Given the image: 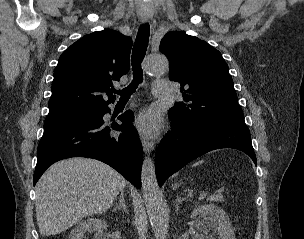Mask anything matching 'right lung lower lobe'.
Listing matches in <instances>:
<instances>
[{
	"mask_svg": "<svg viewBox=\"0 0 304 239\" xmlns=\"http://www.w3.org/2000/svg\"><path fill=\"white\" fill-rule=\"evenodd\" d=\"M106 113H110L108 106L89 119L44 124V133L37 149L33 184L50 165L59 160L88 157L110 165L140 188L143 149L132 125L133 113L128 110L121 115V125L104 122ZM112 130L122 133L113 135Z\"/></svg>",
	"mask_w": 304,
	"mask_h": 239,
	"instance_id": "obj_1",
	"label": "right lung lower lobe"
}]
</instances>
